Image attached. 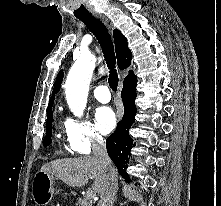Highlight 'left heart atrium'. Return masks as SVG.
<instances>
[{"label":"left heart atrium","mask_w":221,"mask_h":206,"mask_svg":"<svg viewBox=\"0 0 221 206\" xmlns=\"http://www.w3.org/2000/svg\"><path fill=\"white\" fill-rule=\"evenodd\" d=\"M95 119L98 129L103 134H108L116 126V115L110 107L102 106L97 108Z\"/></svg>","instance_id":"left-heart-atrium-1"}]
</instances>
